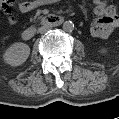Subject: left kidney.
Masks as SVG:
<instances>
[{"label": "left kidney", "instance_id": "1", "mask_svg": "<svg viewBox=\"0 0 119 119\" xmlns=\"http://www.w3.org/2000/svg\"><path fill=\"white\" fill-rule=\"evenodd\" d=\"M99 52H100L101 54H106V53H107V50H106L105 48H102V49L99 50Z\"/></svg>", "mask_w": 119, "mask_h": 119}]
</instances>
